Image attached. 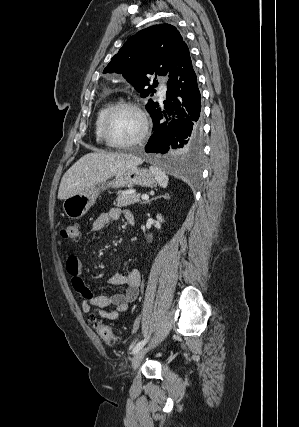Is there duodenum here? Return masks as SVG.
I'll return each instance as SVG.
<instances>
[{"label": "duodenum", "mask_w": 299, "mask_h": 427, "mask_svg": "<svg viewBox=\"0 0 299 427\" xmlns=\"http://www.w3.org/2000/svg\"><path fill=\"white\" fill-rule=\"evenodd\" d=\"M128 223H129L130 225H134L135 220H134V217H133V216H131V217H129V218H128Z\"/></svg>", "instance_id": "obj_1"}]
</instances>
